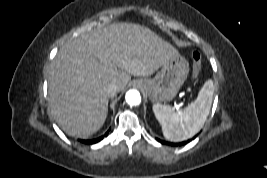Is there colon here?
<instances>
[{
  "label": "colon",
  "mask_w": 267,
  "mask_h": 178,
  "mask_svg": "<svg viewBox=\"0 0 267 178\" xmlns=\"http://www.w3.org/2000/svg\"><path fill=\"white\" fill-rule=\"evenodd\" d=\"M193 61V73L197 75L202 68V56L201 53L197 50H194L191 54Z\"/></svg>",
  "instance_id": "5ec220e1"
}]
</instances>
